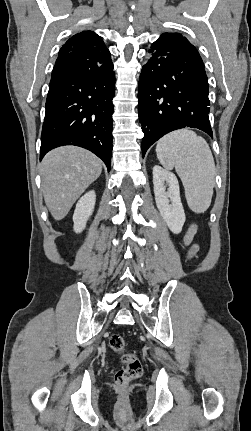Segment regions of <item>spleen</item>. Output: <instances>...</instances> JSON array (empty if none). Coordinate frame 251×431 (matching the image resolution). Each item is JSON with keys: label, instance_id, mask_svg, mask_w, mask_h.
I'll list each match as a JSON object with an SVG mask.
<instances>
[{"label": "spleen", "instance_id": "obj_1", "mask_svg": "<svg viewBox=\"0 0 251 431\" xmlns=\"http://www.w3.org/2000/svg\"><path fill=\"white\" fill-rule=\"evenodd\" d=\"M156 154L164 168L175 167L189 208L204 213L211 204L215 185V163L205 139L189 129H180L157 142Z\"/></svg>", "mask_w": 251, "mask_h": 431}]
</instances>
